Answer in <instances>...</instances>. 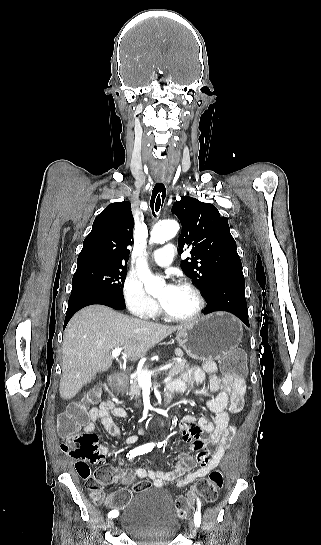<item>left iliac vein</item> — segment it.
Returning <instances> with one entry per match:
<instances>
[{"label": "left iliac vein", "mask_w": 321, "mask_h": 545, "mask_svg": "<svg viewBox=\"0 0 321 545\" xmlns=\"http://www.w3.org/2000/svg\"><path fill=\"white\" fill-rule=\"evenodd\" d=\"M189 529H190L191 533H193V534L196 533L195 523H194V521L192 519L189 521Z\"/></svg>", "instance_id": "1"}]
</instances>
